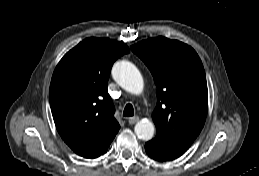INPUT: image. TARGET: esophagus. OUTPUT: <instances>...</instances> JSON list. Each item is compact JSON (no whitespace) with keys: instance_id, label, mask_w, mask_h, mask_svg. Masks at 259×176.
I'll return each instance as SVG.
<instances>
[{"instance_id":"esophagus-1","label":"esophagus","mask_w":259,"mask_h":176,"mask_svg":"<svg viewBox=\"0 0 259 176\" xmlns=\"http://www.w3.org/2000/svg\"><path fill=\"white\" fill-rule=\"evenodd\" d=\"M138 121H139V117H138V116L130 117V118L128 119V123H129L130 125H133V124H135V123L138 122Z\"/></svg>"}]
</instances>
